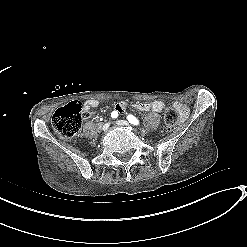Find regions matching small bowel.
Here are the masks:
<instances>
[{
  "instance_id": "c3829d8e",
  "label": "small bowel",
  "mask_w": 247,
  "mask_h": 247,
  "mask_svg": "<svg viewBox=\"0 0 247 247\" xmlns=\"http://www.w3.org/2000/svg\"><path fill=\"white\" fill-rule=\"evenodd\" d=\"M99 105V101L96 99H90L85 101L82 104V110L84 113L88 114L90 111L94 108H96ZM132 107L140 112H155V113H161L164 110V103L161 101H152V102H140L135 103L132 105ZM127 108V104L125 102H119L115 105V111L118 114H124ZM175 108L180 113L181 118H185L188 114V109L185 105L182 103L177 102L175 104Z\"/></svg>"
}]
</instances>
